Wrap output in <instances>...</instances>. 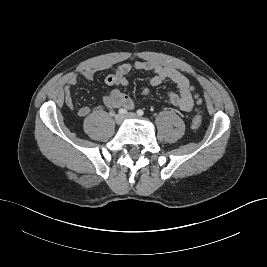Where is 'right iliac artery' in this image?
<instances>
[{"instance_id":"obj_1","label":"right iliac artery","mask_w":267,"mask_h":267,"mask_svg":"<svg viewBox=\"0 0 267 267\" xmlns=\"http://www.w3.org/2000/svg\"><path fill=\"white\" fill-rule=\"evenodd\" d=\"M119 114H126L127 113V110L122 108V109H119Z\"/></svg>"}]
</instances>
